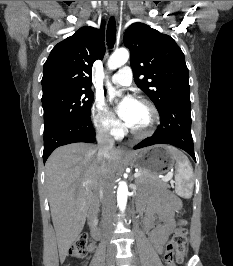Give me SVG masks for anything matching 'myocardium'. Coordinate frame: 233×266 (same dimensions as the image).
Segmentation results:
<instances>
[{
  "instance_id": "obj_1",
  "label": "myocardium",
  "mask_w": 233,
  "mask_h": 266,
  "mask_svg": "<svg viewBox=\"0 0 233 266\" xmlns=\"http://www.w3.org/2000/svg\"><path fill=\"white\" fill-rule=\"evenodd\" d=\"M138 102L145 105L149 109L151 113V122L149 126L144 130L138 131L130 128V133L134 138L145 139L147 137H150L156 131L159 125L160 115L157 107L152 101L145 98H140L138 99Z\"/></svg>"
}]
</instances>
